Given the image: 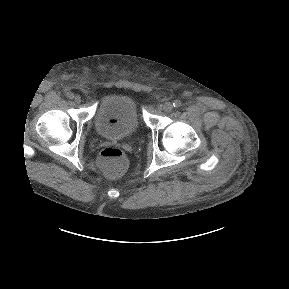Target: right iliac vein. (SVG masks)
Returning a JSON list of instances; mask_svg holds the SVG:
<instances>
[{
  "mask_svg": "<svg viewBox=\"0 0 289 289\" xmlns=\"http://www.w3.org/2000/svg\"><path fill=\"white\" fill-rule=\"evenodd\" d=\"M74 101H75L77 104L81 103V101H82L81 96L76 95V96L74 97Z\"/></svg>",
  "mask_w": 289,
  "mask_h": 289,
  "instance_id": "obj_1",
  "label": "right iliac vein"
}]
</instances>
